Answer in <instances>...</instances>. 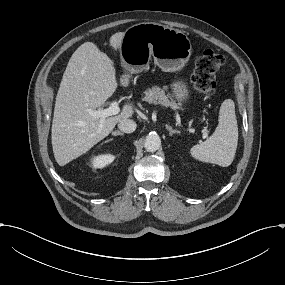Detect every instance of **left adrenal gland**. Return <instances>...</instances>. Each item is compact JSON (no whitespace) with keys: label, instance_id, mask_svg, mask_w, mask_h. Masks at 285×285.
I'll return each mask as SVG.
<instances>
[{"label":"left adrenal gland","instance_id":"left-adrenal-gland-1","mask_svg":"<svg viewBox=\"0 0 285 285\" xmlns=\"http://www.w3.org/2000/svg\"><path fill=\"white\" fill-rule=\"evenodd\" d=\"M165 127L170 131L169 136L172 137L174 134L181 135V133L179 131L173 130V128L170 125L166 124Z\"/></svg>","mask_w":285,"mask_h":285}]
</instances>
